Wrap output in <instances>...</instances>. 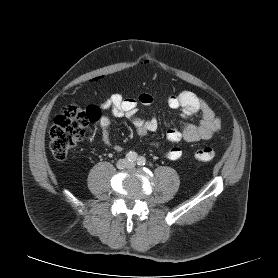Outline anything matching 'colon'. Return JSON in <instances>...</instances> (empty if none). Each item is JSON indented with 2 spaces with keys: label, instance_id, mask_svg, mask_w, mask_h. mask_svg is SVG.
<instances>
[{
  "label": "colon",
  "instance_id": "5ec220e1",
  "mask_svg": "<svg viewBox=\"0 0 278 278\" xmlns=\"http://www.w3.org/2000/svg\"><path fill=\"white\" fill-rule=\"evenodd\" d=\"M100 118V109L96 106L82 108L77 105L64 107L54 119L50 128L49 149L58 162L63 161L69 151L83 138L90 125ZM197 161L209 162L215 157L211 147H202L195 151Z\"/></svg>",
  "mask_w": 278,
  "mask_h": 278
}]
</instances>
